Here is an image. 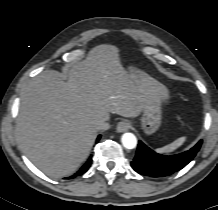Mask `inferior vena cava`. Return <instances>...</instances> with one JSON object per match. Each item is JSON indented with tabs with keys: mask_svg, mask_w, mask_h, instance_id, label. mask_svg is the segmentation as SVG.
<instances>
[{
	"mask_svg": "<svg viewBox=\"0 0 218 210\" xmlns=\"http://www.w3.org/2000/svg\"><path fill=\"white\" fill-rule=\"evenodd\" d=\"M97 130H108L110 128V124L107 121H100L96 125Z\"/></svg>",
	"mask_w": 218,
	"mask_h": 210,
	"instance_id": "602c4592",
	"label": "inferior vena cava"
}]
</instances>
